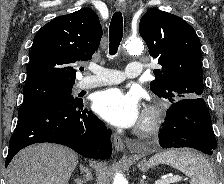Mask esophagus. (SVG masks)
<instances>
[{"label": "esophagus", "mask_w": 224, "mask_h": 184, "mask_svg": "<svg viewBox=\"0 0 224 184\" xmlns=\"http://www.w3.org/2000/svg\"><path fill=\"white\" fill-rule=\"evenodd\" d=\"M115 7L118 11L125 12L126 3L124 1L116 2ZM114 146L117 151H123L125 149L124 142L118 134H114Z\"/></svg>", "instance_id": "obj_1"}]
</instances>
